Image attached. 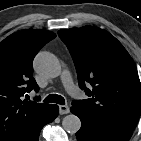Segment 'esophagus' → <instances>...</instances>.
I'll use <instances>...</instances> for the list:
<instances>
[{"mask_svg":"<svg viewBox=\"0 0 141 141\" xmlns=\"http://www.w3.org/2000/svg\"><path fill=\"white\" fill-rule=\"evenodd\" d=\"M70 112L69 106L67 105H60L59 106V113L61 115L68 114Z\"/></svg>","mask_w":141,"mask_h":141,"instance_id":"esophagus-1","label":"esophagus"}]
</instances>
